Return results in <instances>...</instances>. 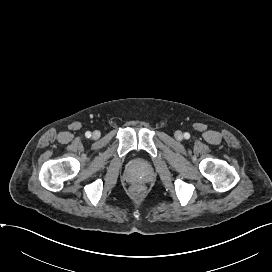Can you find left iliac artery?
<instances>
[{"label": "left iliac artery", "instance_id": "obj_1", "mask_svg": "<svg viewBox=\"0 0 272 272\" xmlns=\"http://www.w3.org/2000/svg\"><path fill=\"white\" fill-rule=\"evenodd\" d=\"M184 137H185L186 139H189L190 134H189V133H184Z\"/></svg>", "mask_w": 272, "mask_h": 272}]
</instances>
